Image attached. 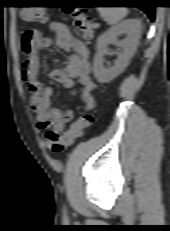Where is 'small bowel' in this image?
<instances>
[{"label":"small bowel","instance_id":"c3829d8e","mask_svg":"<svg viewBox=\"0 0 170 231\" xmlns=\"http://www.w3.org/2000/svg\"><path fill=\"white\" fill-rule=\"evenodd\" d=\"M51 28L55 34L54 40L33 30L24 33L22 49L26 54V60L22 76L31 97V105L36 114L38 128L52 129V131L60 133L72 120L73 111L69 109L61 111L52 106V89L43 85L39 80L41 50L55 43L69 53L65 67L63 69L54 68L49 75L53 80L69 89L70 95H78L83 101L85 111H90L95 106L92 95L95 84L90 77L89 47L76 38L66 24L54 22Z\"/></svg>","mask_w":170,"mask_h":231}]
</instances>
